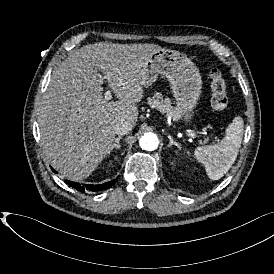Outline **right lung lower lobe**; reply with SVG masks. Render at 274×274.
Returning <instances> with one entry per match:
<instances>
[{
    "instance_id": "1",
    "label": "right lung lower lobe",
    "mask_w": 274,
    "mask_h": 274,
    "mask_svg": "<svg viewBox=\"0 0 274 274\" xmlns=\"http://www.w3.org/2000/svg\"><path fill=\"white\" fill-rule=\"evenodd\" d=\"M65 183L70 185L71 187L75 188L76 190H78L80 192H85V191L98 192V191L107 190V189L111 188L115 184V181L112 180V181L107 182L105 184H99V185H89V184L80 185L79 183L72 182V181H69V180H65Z\"/></svg>"
}]
</instances>
